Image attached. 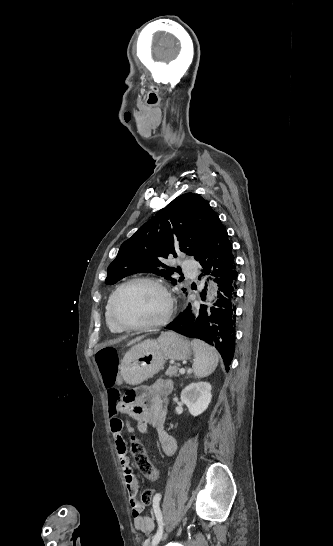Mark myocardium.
<instances>
[{"mask_svg":"<svg viewBox=\"0 0 333 546\" xmlns=\"http://www.w3.org/2000/svg\"><path fill=\"white\" fill-rule=\"evenodd\" d=\"M133 283L152 284V285H155V286L159 287L163 291V293L165 294L166 299H167V309H166L164 315L161 318H159V319H157L155 321H152V322L137 324V325H128V324H125V323L121 322L118 319V317L116 315V312H115V305H116L117 297H118V295H119V293L121 292L122 289H124L126 286H128L130 284H133ZM174 311H175V299H174L170 289L168 288V286L166 285V283L164 281H162L161 279L156 278V277H151V276L132 277V278L124 281L123 283H121L114 290V292L112 293L111 298H110L109 312H110L111 320L122 331H146V330H152V329L162 327V326L169 323V321L172 319Z\"/></svg>","mask_w":333,"mask_h":546,"instance_id":"f54148a6","label":"myocardium"}]
</instances>
